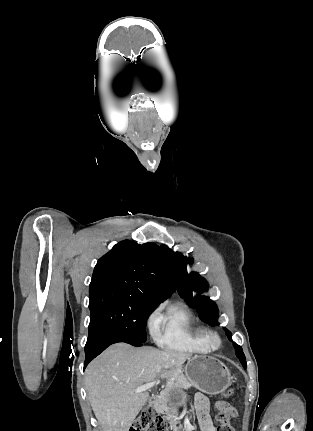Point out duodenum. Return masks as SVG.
<instances>
[{
	"label": "duodenum",
	"instance_id": "duodenum-1",
	"mask_svg": "<svg viewBox=\"0 0 313 431\" xmlns=\"http://www.w3.org/2000/svg\"><path fill=\"white\" fill-rule=\"evenodd\" d=\"M156 400H157V398H156V397H155V398H153V401H154V402H156Z\"/></svg>",
	"mask_w": 313,
	"mask_h": 431
}]
</instances>
